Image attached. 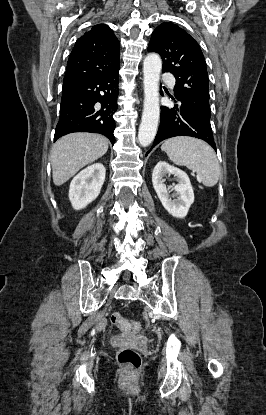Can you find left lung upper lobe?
<instances>
[{"instance_id": "1", "label": "left lung upper lobe", "mask_w": 266, "mask_h": 415, "mask_svg": "<svg viewBox=\"0 0 266 415\" xmlns=\"http://www.w3.org/2000/svg\"><path fill=\"white\" fill-rule=\"evenodd\" d=\"M148 51L160 54L162 71L175 76V98L210 123L208 73L195 39L175 24L162 23L152 33Z\"/></svg>"}]
</instances>
